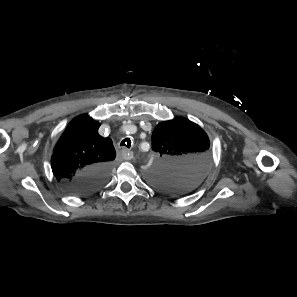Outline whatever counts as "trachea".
Masks as SVG:
<instances>
[{
  "mask_svg": "<svg viewBox=\"0 0 297 297\" xmlns=\"http://www.w3.org/2000/svg\"><path fill=\"white\" fill-rule=\"evenodd\" d=\"M120 146H125L127 148L131 147V140L130 138H125L124 140L121 141Z\"/></svg>",
  "mask_w": 297,
  "mask_h": 297,
  "instance_id": "trachea-1",
  "label": "trachea"
}]
</instances>
